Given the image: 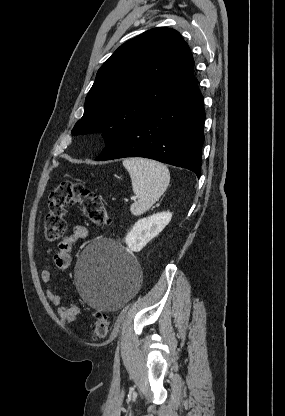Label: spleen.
Here are the masks:
<instances>
[{
    "mask_svg": "<svg viewBox=\"0 0 285 416\" xmlns=\"http://www.w3.org/2000/svg\"><path fill=\"white\" fill-rule=\"evenodd\" d=\"M123 166L130 174L132 190L138 198L130 212L133 216H141L166 192L170 172L164 164L146 158H124Z\"/></svg>",
    "mask_w": 285,
    "mask_h": 416,
    "instance_id": "3e777b00",
    "label": "spleen"
}]
</instances>
